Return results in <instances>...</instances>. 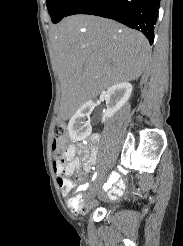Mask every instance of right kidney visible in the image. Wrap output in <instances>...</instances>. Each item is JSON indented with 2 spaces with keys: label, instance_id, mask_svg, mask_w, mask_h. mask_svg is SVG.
I'll return each mask as SVG.
<instances>
[{
  "label": "right kidney",
  "instance_id": "obj_1",
  "mask_svg": "<svg viewBox=\"0 0 183 246\" xmlns=\"http://www.w3.org/2000/svg\"><path fill=\"white\" fill-rule=\"evenodd\" d=\"M132 93V85L128 82L118 83L108 88L105 99L107 110L104 113L102 122L111 118L128 101ZM94 103H84L73 115L68 124V131L74 140H81L89 135V123L86 117L93 110Z\"/></svg>",
  "mask_w": 183,
  "mask_h": 246
}]
</instances>
